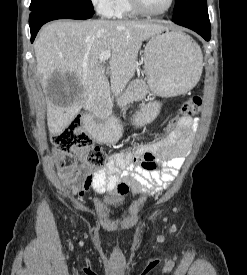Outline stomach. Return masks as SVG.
Here are the masks:
<instances>
[{"label": "stomach", "mask_w": 247, "mask_h": 275, "mask_svg": "<svg viewBox=\"0 0 247 275\" xmlns=\"http://www.w3.org/2000/svg\"><path fill=\"white\" fill-rule=\"evenodd\" d=\"M144 69L148 87L157 96L181 95L192 89L202 72V54L198 45L185 34L166 29L148 40L144 50ZM159 105L150 103L134 117L136 126L153 121ZM93 131L104 142H115L121 129L110 123L95 124Z\"/></svg>", "instance_id": "obj_1"}]
</instances>
